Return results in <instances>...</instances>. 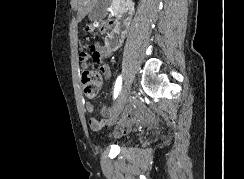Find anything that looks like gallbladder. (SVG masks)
Instances as JSON below:
<instances>
[{
  "mask_svg": "<svg viewBox=\"0 0 244 179\" xmlns=\"http://www.w3.org/2000/svg\"><path fill=\"white\" fill-rule=\"evenodd\" d=\"M110 4L111 0H97L92 10H90L89 20L96 22V20H102V18H105L107 8H109Z\"/></svg>",
  "mask_w": 244,
  "mask_h": 179,
  "instance_id": "1",
  "label": "gallbladder"
}]
</instances>
